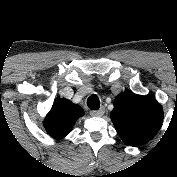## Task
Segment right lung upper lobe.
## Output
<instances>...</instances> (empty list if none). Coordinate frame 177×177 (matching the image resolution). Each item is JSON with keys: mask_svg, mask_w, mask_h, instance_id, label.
<instances>
[{"mask_svg": "<svg viewBox=\"0 0 177 177\" xmlns=\"http://www.w3.org/2000/svg\"><path fill=\"white\" fill-rule=\"evenodd\" d=\"M83 114L84 111L79 105L60 99L53 104L44 120V127L51 137L60 139L72 131L74 123Z\"/></svg>", "mask_w": 177, "mask_h": 177, "instance_id": "cb5924a9", "label": "right lung upper lobe"}]
</instances>
